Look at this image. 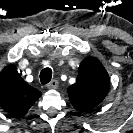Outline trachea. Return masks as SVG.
<instances>
[{
    "mask_svg": "<svg viewBox=\"0 0 133 133\" xmlns=\"http://www.w3.org/2000/svg\"><path fill=\"white\" fill-rule=\"evenodd\" d=\"M52 78V70L50 68H44L40 73V81L42 84H47Z\"/></svg>",
    "mask_w": 133,
    "mask_h": 133,
    "instance_id": "trachea-1",
    "label": "trachea"
}]
</instances>
